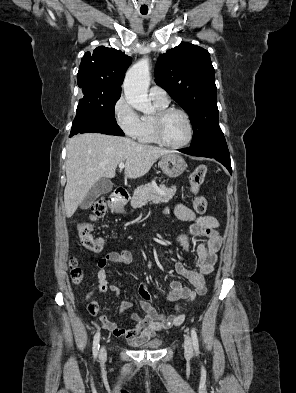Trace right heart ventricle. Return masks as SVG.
I'll return each mask as SVG.
<instances>
[{
    "mask_svg": "<svg viewBox=\"0 0 296 393\" xmlns=\"http://www.w3.org/2000/svg\"><path fill=\"white\" fill-rule=\"evenodd\" d=\"M153 104L156 111L162 110L167 107V104H160L154 101ZM154 115H143L142 117H140L141 128L137 139L143 144L157 143L154 135Z\"/></svg>",
    "mask_w": 296,
    "mask_h": 393,
    "instance_id": "right-heart-ventricle-1",
    "label": "right heart ventricle"
}]
</instances>
